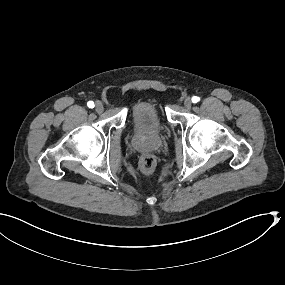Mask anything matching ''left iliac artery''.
Here are the masks:
<instances>
[{"mask_svg":"<svg viewBox=\"0 0 285 285\" xmlns=\"http://www.w3.org/2000/svg\"><path fill=\"white\" fill-rule=\"evenodd\" d=\"M198 101H200V98H199V97H197V96H193V97H192V102H193V103H197Z\"/></svg>","mask_w":285,"mask_h":285,"instance_id":"1","label":"left iliac artery"}]
</instances>
